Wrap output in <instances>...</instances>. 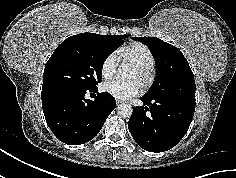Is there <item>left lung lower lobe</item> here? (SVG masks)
Segmentation results:
<instances>
[{
    "mask_svg": "<svg viewBox=\"0 0 236 178\" xmlns=\"http://www.w3.org/2000/svg\"><path fill=\"white\" fill-rule=\"evenodd\" d=\"M144 106L133 107L128 122L136 143L149 152L173 148L186 134L192 121L195 102L172 101L165 98H140Z\"/></svg>",
    "mask_w": 236,
    "mask_h": 178,
    "instance_id": "left-lung-lower-lobe-1",
    "label": "left lung lower lobe"
}]
</instances>
